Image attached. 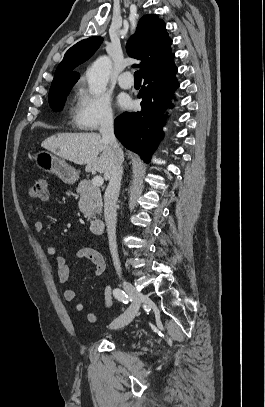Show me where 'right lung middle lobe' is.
Masks as SVG:
<instances>
[{
    "label": "right lung middle lobe",
    "instance_id": "1",
    "mask_svg": "<svg viewBox=\"0 0 265 407\" xmlns=\"http://www.w3.org/2000/svg\"><path fill=\"white\" fill-rule=\"evenodd\" d=\"M75 83L64 82L53 85L49 91V104L54 111L63 109L66 97Z\"/></svg>",
    "mask_w": 265,
    "mask_h": 407
}]
</instances>
